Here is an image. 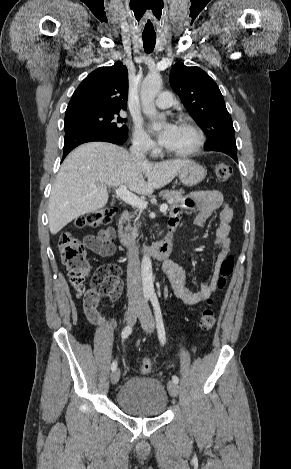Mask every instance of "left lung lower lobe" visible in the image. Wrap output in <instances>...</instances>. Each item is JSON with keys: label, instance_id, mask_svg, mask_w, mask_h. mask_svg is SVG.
Here are the masks:
<instances>
[{"label": "left lung lower lobe", "instance_id": "left-lung-lower-lobe-1", "mask_svg": "<svg viewBox=\"0 0 291 469\" xmlns=\"http://www.w3.org/2000/svg\"><path fill=\"white\" fill-rule=\"evenodd\" d=\"M206 151H219L231 156L237 163V147L233 145H219L211 148H204Z\"/></svg>", "mask_w": 291, "mask_h": 469}]
</instances>
